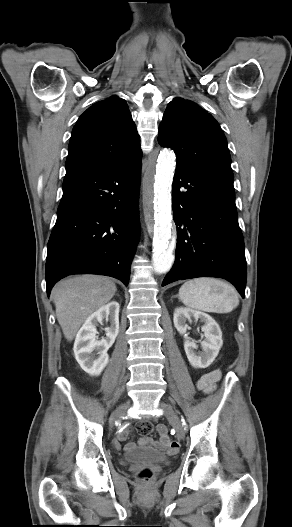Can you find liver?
Listing matches in <instances>:
<instances>
[{
    "instance_id": "6515ba94",
    "label": "liver",
    "mask_w": 292,
    "mask_h": 527,
    "mask_svg": "<svg viewBox=\"0 0 292 527\" xmlns=\"http://www.w3.org/2000/svg\"><path fill=\"white\" fill-rule=\"evenodd\" d=\"M116 291L111 279L99 275H79L59 281L51 295L65 338L72 341L88 317L107 304Z\"/></svg>"
}]
</instances>
